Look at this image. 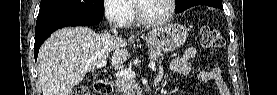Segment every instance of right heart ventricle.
Segmentation results:
<instances>
[{
    "label": "right heart ventricle",
    "mask_w": 277,
    "mask_h": 95,
    "mask_svg": "<svg viewBox=\"0 0 277 95\" xmlns=\"http://www.w3.org/2000/svg\"><path fill=\"white\" fill-rule=\"evenodd\" d=\"M130 20H132V17L130 16V18H129Z\"/></svg>",
    "instance_id": "e07e8e85"
}]
</instances>
